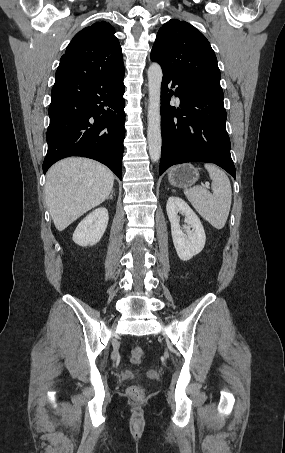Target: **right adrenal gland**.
<instances>
[{
	"mask_svg": "<svg viewBox=\"0 0 285 453\" xmlns=\"http://www.w3.org/2000/svg\"><path fill=\"white\" fill-rule=\"evenodd\" d=\"M113 192H114V190L111 191V194H110V196L108 197V199H113Z\"/></svg>",
	"mask_w": 285,
	"mask_h": 453,
	"instance_id": "obj_1",
	"label": "right adrenal gland"
}]
</instances>
